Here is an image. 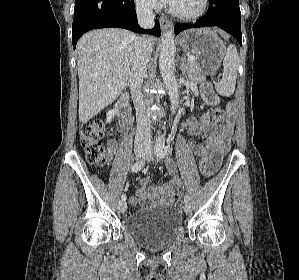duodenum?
Masks as SVG:
<instances>
[{
	"label": "duodenum",
	"mask_w": 299,
	"mask_h": 280,
	"mask_svg": "<svg viewBox=\"0 0 299 280\" xmlns=\"http://www.w3.org/2000/svg\"><path fill=\"white\" fill-rule=\"evenodd\" d=\"M118 112L120 116V128L126 130L130 124V108L129 101L126 95L122 96L118 102Z\"/></svg>",
	"instance_id": "410a0bca"
}]
</instances>
